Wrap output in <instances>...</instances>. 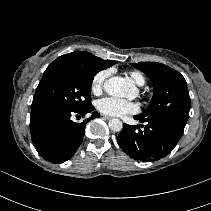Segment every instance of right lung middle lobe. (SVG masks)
<instances>
[{
    "label": "right lung middle lobe",
    "mask_w": 211,
    "mask_h": 211,
    "mask_svg": "<svg viewBox=\"0 0 211 211\" xmlns=\"http://www.w3.org/2000/svg\"><path fill=\"white\" fill-rule=\"evenodd\" d=\"M101 68L54 60L36 89L32 110L79 111L91 105V85Z\"/></svg>",
    "instance_id": "obj_1"
}]
</instances>
